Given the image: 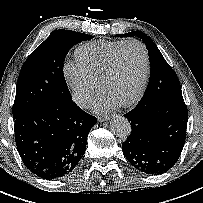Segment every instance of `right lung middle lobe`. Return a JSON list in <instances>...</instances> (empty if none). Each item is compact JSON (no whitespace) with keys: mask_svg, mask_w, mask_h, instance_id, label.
<instances>
[{"mask_svg":"<svg viewBox=\"0 0 203 203\" xmlns=\"http://www.w3.org/2000/svg\"><path fill=\"white\" fill-rule=\"evenodd\" d=\"M93 36L69 30H55L23 64L16 87L13 118L38 107L71 100L63 74V61L69 49Z\"/></svg>","mask_w":203,"mask_h":203,"instance_id":"obj_1","label":"right lung middle lobe"}]
</instances>
